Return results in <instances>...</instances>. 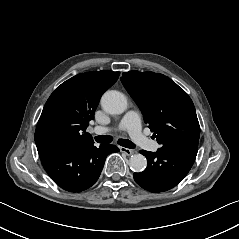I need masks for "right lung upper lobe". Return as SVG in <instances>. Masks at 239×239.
Returning <instances> with one entry per match:
<instances>
[{
  "label": "right lung upper lobe",
  "mask_w": 239,
  "mask_h": 239,
  "mask_svg": "<svg viewBox=\"0 0 239 239\" xmlns=\"http://www.w3.org/2000/svg\"><path fill=\"white\" fill-rule=\"evenodd\" d=\"M119 72L92 71L62 83L47 100L35 131L37 149L93 143L86 132L102 94Z\"/></svg>",
  "instance_id": "obj_1"
}]
</instances>
